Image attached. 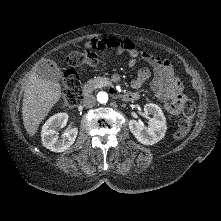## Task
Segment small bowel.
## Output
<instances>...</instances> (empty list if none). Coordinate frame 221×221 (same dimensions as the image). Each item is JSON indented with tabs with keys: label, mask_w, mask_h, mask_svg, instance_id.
Instances as JSON below:
<instances>
[{
	"label": "small bowel",
	"mask_w": 221,
	"mask_h": 221,
	"mask_svg": "<svg viewBox=\"0 0 221 221\" xmlns=\"http://www.w3.org/2000/svg\"><path fill=\"white\" fill-rule=\"evenodd\" d=\"M86 47L116 54L126 53L131 57L128 61L129 67H134L139 60L146 62L151 69L142 68L131 81L132 88L139 89L150 78L152 70L151 88L155 96L164 103L166 111L172 115H178L183 110L186 101L183 85L169 60L139 50L136 44L129 39L94 38L86 44ZM135 94L139 98V94Z\"/></svg>",
	"instance_id": "obj_1"
}]
</instances>
